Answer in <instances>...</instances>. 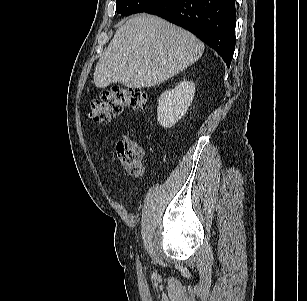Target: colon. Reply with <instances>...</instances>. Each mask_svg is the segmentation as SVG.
Segmentation results:
<instances>
[{"label": "colon", "mask_w": 307, "mask_h": 301, "mask_svg": "<svg viewBox=\"0 0 307 301\" xmlns=\"http://www.w3.org/2000/svg\"><path fill=\"white\" fill-rule=\"evenodd\" d=\"M148 96L140 88L116 87L102 93L91 102V117L101 123L111 122L124 108L143 110ZM116 155L121 167L131 175L142 173L143 151L133 137L122 136L116 144Z\"/></svg>", "instance_id": "5ec220e1"}]
</instances>
